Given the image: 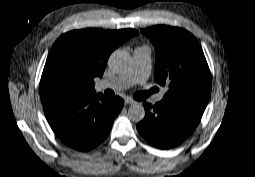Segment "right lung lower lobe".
<instances>
[{"label": "right lung lower lobe", "instance_id": "right-lung-lower-lobe-1", "mask_svg": "<svg viewBox=\"0 0 255 177\" xmlns=\"http://www.w3.org/2000/svg\"><path fill=\"white\" fill-rule=\"evenodd\" d=\"M46 118L56 136L66 145L88 151L108 136L124 101L105 98L95 91L67 99L44 102Z\"/></svg>", "mask_w": 255, "mask_h": 177}]
</instances>
